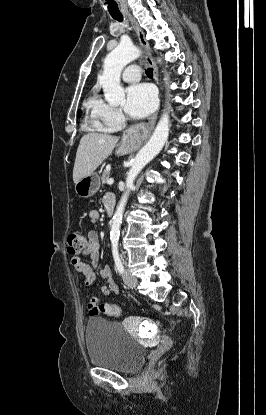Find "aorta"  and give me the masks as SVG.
<instances>
[{"label":"aorta","instance_id":"obj_1","mask_svg":"<svg viewBox=\"0 0 266 415\" xmlns=\"http://www.w3.org/2000/svg\"><path fill=\"white\" fill-rule=\"evenodd\" d=\"M141 55L139 48L130 43H120L105 58L103 74L99 81L103 87L106 101L112 106H118L125 100V91L120 85V76L123 68ZM168 77L165 78V81ZM169 136V115L164 112L148 143L137 153L127 174L126 188L112 218L110 241L112 250H117L120 235V226L125 205L134 186L137 175L141 172L163 148Z\"/></svg>","mask_w":266,"mask_h":415}]
</instances>
